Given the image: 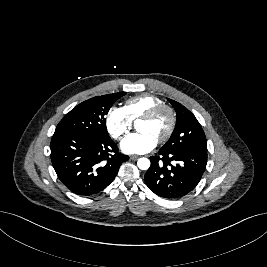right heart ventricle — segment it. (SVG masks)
<instances>
[{"label": "right heart ventricle", "mask_w": 267, "mask_h": 267, "mask_svg": "<svg viewBox=\"0 0 267 267\" xmlns=\"http://www.w3.org/2000/svg\"><path fill=\"white\" fill-rule=\"evenodd\" d=\"M162 104L160 98L150 95L141 94L128 99L125 102L124 109L132 121L140 119L148 110Z\"/></svg>", "instance_id": "right-heart-ventricle-1"}]
</instances>
